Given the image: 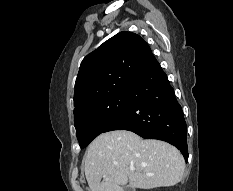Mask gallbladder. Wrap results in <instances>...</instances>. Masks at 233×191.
I'll return each instance as SVG.
<instances>
[{
	"instance_id": "obj_1",
	"label": "gallbladder",
	"mask_w": 233,
	"mask_h": 191,
	"mask_svg": "<svg viewBox=\"0 0 233 191\" xmlns=\"http://www.w3.org/2000/svg\"><path fill=\"white\" fill-rule=\"evenodd\" d=\"M123 191H135V189L132 188V187H130V186H125V187L123 188Z\"/></svg>"
}]
</instances>
